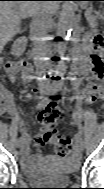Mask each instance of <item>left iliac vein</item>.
Wrapping results in <instances>:
<instances>
[{
    "mask_svg": "<svg viewBox=\"0 0 104 189\" xmlns=\"http://www.w3.org/2000/svg\"><path fill=\"white\" fill-rule=\"evenodd\" d=\"M84 148H85V146H84L83 142H80V143H79L78 150H79V151H83Z\"/></svg>",
    "mask_w": 104,
    "mask_h": 189,
    "instance_id": "obj_1",
    "label": "left iliac vein"
}]
</instances>
